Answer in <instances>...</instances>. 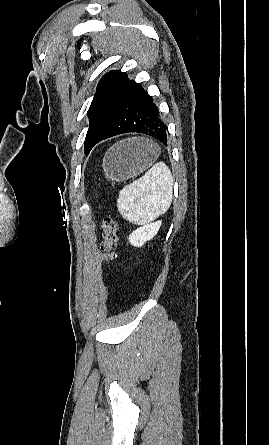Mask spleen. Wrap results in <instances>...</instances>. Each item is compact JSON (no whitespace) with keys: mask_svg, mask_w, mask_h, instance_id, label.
<instances>
[{"mask_svg":"<svg viewBox=\"0 0 269 445\" xmlns=\"http://www.w3.org/2000/svg\"><path fill=\"white\" fill-rule=\"evenodd\" d=\"M173 177L164 162L154 164L141 178L119 191L117 208L127 221L145 225L171 205Z\"/></svg>","mask_w":269,"mask_h":445,"instance_id":"3e777b00","label":"spleen"}]
</instances>
